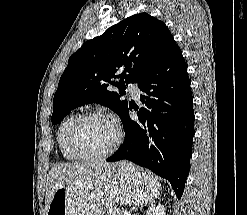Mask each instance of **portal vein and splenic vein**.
I'll list each match as a JSON object with an SVG mask.
<instances>
[{
    "label": "portal vein and splenic vein",
    "instance_id": "18ae733b",
    "mask_svg": "<svg viewBox=\"0 0 247 215\" xmlns=\"http://www.w3.org/2000/svg\"><path fill=\"white\" fill-rule=\"evenodd\" d=\"M123 214H124V215H131V213L128 212V211H125Z\"/></svg>",
    "mask_w": 247,
    "mask_h": 215
}]
</instances>
